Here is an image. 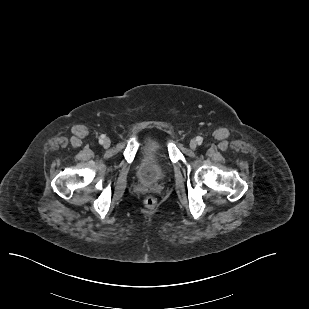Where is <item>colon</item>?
Returning a JSON list of instances; mask_svg holds the SVG:
<instances>
[{
	"mask_svg": "<svg viewBox=\"0 0 309 309\" xmlns=\"http://www.w3.org/2000/svg\"><path fill=\"white\" fill-rule=\"evenodd\" d=\"M144 204L147 208H154L157 205V200L154 197H147L144 200Z\"/></svg>",
	"mask_w": 309,
	"mask_h": 309,
	"instance_id": "5ec220e1",
	"label": "colon"
}]
</instances>
